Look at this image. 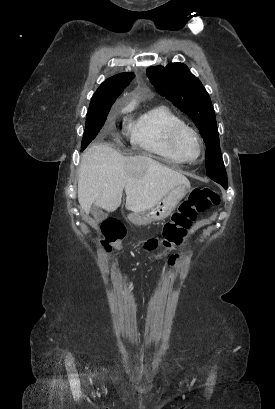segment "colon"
I'll use <instances>...</instances> for the list:
<instances>
[{"instance_id":"5ec220e1","label":"colon","mask_w":275,"mask_h":409,"mask_svg":"<svg viewBox=\"0 0 275 409\" xmlns=\"http://www.w3.org/2000/svg\"><path fill=\"white\" fill-rule=\"evenodd\" d=\"M220 198L217 192L210 188H196L182 200L178 211L172 215V219L165 223L160 236L147 239L143 246L146 250L153 251L163 247L170 251L180 246L186 239L189 228L196 216H209L211 206H218ZM125 232L123 225L116 220H107L102 227L101 244L108 249L110 245L121 246Z\"/></svg>"}]
</instances>
